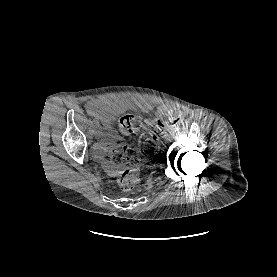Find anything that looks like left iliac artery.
<instances>
[{"label":"left iliac artery","mask_w":277,"mask_h":277,"mask_svg":"<svg viewBox=\"0 0 277 277\" xmlns=\"http://www.w3.org/2000/svg\"><path fill=\"white\" fill-rule=\"evenodd\" d=\"M179 129H180V128H179V126L177 125V126H175V127L173 128L172 131H173L174 133H178V132H179Z\"/></svg>","instance_id":"left-iliac-artery-1"}]
</instances>
